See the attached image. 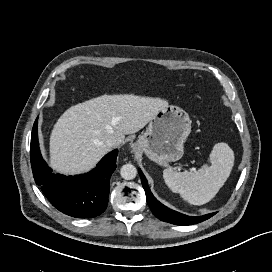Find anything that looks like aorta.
Masks as SVG:
<instances>
[{
	"mask_svg": "<svg viewBox=\"0 0 272 272\" xmlns=\"http://www.w3.org/2000/svg\"><path fill=\"white\" fill-rule=\"evenodd\" d=\"M120 174L125 180H132L136 177L137 170L134 165L125 164L121 167Z\"/></svg>",
	"mask_w": 272,
	"mask_h": 272,
	"instance_id": "762f6f07",
	"label": "aorta"
}]
</instances>
